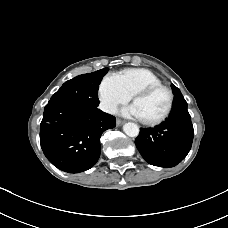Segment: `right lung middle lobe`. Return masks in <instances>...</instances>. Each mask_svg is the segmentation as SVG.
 <instances>
[{"label": "right lung middle lobe", "instance_id": "1", "mask_svg": "<svg viewBox=\"0 0 228 228\" xmlns=\"http://www.w3.org/2000/svg\"><path fill=\"white\" fill-rule=\"evenodd\" d=\"M108 70V68H104L68 80L48 103H61L78 109L96 108L99 105V84Z\"/></svg>", "mask_w": 228, "mask_h": 228}]
</instances>
